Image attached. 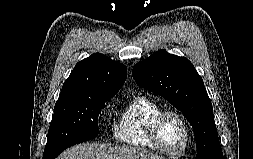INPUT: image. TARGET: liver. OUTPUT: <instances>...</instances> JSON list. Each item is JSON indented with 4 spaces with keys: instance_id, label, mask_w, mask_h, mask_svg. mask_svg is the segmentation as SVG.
<instances>
[{
    "instance_id": "obj_1",
    "label": "liver",
    "mask_w": 253,
    "mask_h": 159,
    "mask_svg": "<svg viewBox=\"0 0 253 159\" xmlns=\"http://www.w3.org/2000/svg\"><path fill=\"white\" fill-rule=\"evenodd\" d=\"M56 159H166L132 146L109 147L107 144L82 143L62 152Z\"/></svg>"
}]
</instances>
